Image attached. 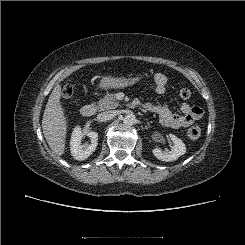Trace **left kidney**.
<instances>
[{
	"instance_id": "5707ae66",
	"label": "left kidney",
	"mask_w": 245,
	"mask_h": 245,
	"mask_svg": "<svg viewBox=\"0 0 245 245\" xmlns=\"http://www.w3.org/2000/svg\"><path fill=\"white\" fill-rule=\"evenodd\" d=\"M169 136L174 143V146L170 151L169 150L162 151L160 148H154L152 151L153 155L157 159L165 162L175 161L180 156L186 153V146L184 142L173 134H169Z\"/></svg>"
}]
</instances>
